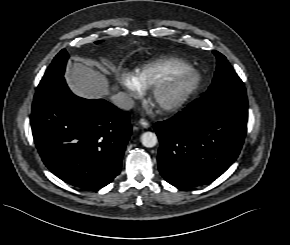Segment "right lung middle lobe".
Segmentation results:
<instances>
[{"instance_id": "obj_1", "label": "right lung middle lobe", "mask_w": 290, "mask_h": 245, "mask_svg": "<svg viewBox=\"0 0 290 245\" xmlns=\"http://www.w3.org/2000/svg\"><path fill=\"white\" fill-rule=\"evenodd\" d=\"M100 42L102 41H96L95 43L98 44ZM68 57L69 56L66 50L65 49L61 50L55 56L50 66L47 68L38 86H43L63 78Z\"/></svg>"}]
</instances>
